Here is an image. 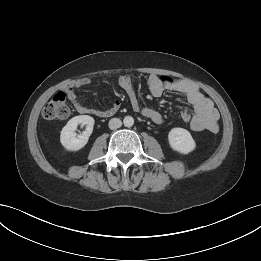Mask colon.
I'll return each mask as SVG.
<instances>
[{
  "mask_svg": "<svg viewBox=\"0 0 261 261\" xmlns=\"http://www.w3.org/2000/svg\"><path fill=\"white\" fill-rule=\"evenodd\" d=\"M42 115L48 120H64L70 116V108L66 103V96L63 92H58L54 97L45 105ZM182 119L185 122L190 121V115L182 114Z\"/></svg>",
  "mask_w": 261,
  "mask_h": 261,
  "instance_id": "1",
  "label": "colon"
}]
</instances>
